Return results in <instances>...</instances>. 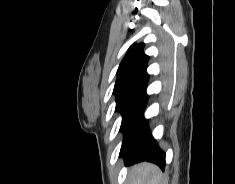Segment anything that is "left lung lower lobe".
<instances>
[{
    "mask_svg": "<svg viewBox=\"0 0 235 184\" xmlns=\"http://www.w3.org/2000/svg\"><path fill=\"white\" fill-rule=\"evenodd\" d=\"M163 154L164 152L148 131V120L141 114L130 139L120 151V156L124 158L125 165L149 161L164 170L166 161Z\"/></svg>",
    "mask_w": 235,
    "mask_h": 184,
    "instance_id": "left-lung-lower-lobe-1",
    "label": "left lung lower lobe"
}]
</instances>
